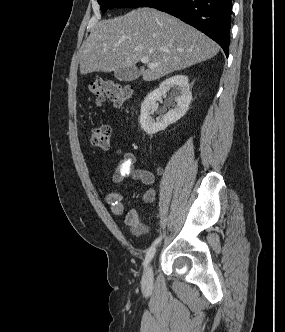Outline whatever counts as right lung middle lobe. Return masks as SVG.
I'll return each mask as SVG.
<instances>
[{"instance_id":"right-lung-middle-lobe-1","label":"right lung middle lobe","mask_w":285,"mask_h":332,"mask_svg":"<svg viewBox=\"0 0 285 332\" xmlns=\"http://www.w3.org/2000/svg\"><path fill=\"white\" fill-rule=\"evenodd\" d=\"M100 4L102 12L108 8H118V7H141L149 0H97Z\"/></svg>"}]
</instances>
